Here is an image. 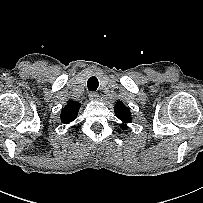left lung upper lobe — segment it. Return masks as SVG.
I'll return each mask as SVG.
<instances>
[{
    "label": "left lung upper lobe",
    "mask_w": 203,
    "mask_h": 203,
    "mask_svg": "<svg viewBox=\"0 0 203 203\" xmlns=\"http://www.w3.org/2000/svg\"><path fill=\"white\" fill-rule=\"evenodd\" d=\"M115 115L118 117L123 124H120L121 128H127L126 124L132 121L131 112L122 102H117L114 107Z\"/></svg>",
    "instance_id": "obj_1"
}]
</instances>
